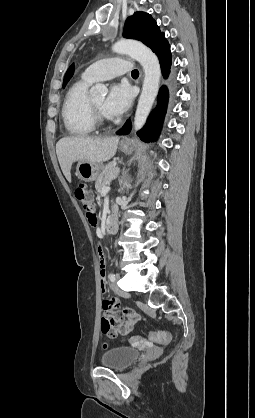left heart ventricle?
<instances>
[{
  "label": "left heart ventricle",
  "mask_w": 255,
  "mask_h": 418,
  "mask_svg": "<svg viewBox=\"0 0 255 418\" xmlns=\"http://www.w3.org/2000/svg\"><path fill=\"white\" fill-rule=\"evenodd\" d=\"M92 102L95 104V106H97L102 111V106H103V103H104V98L103 97L93 98ZM102 113H103V111H102Z\"/></svg>",
  "instance_id": "obj_1"
}]
</instances>
